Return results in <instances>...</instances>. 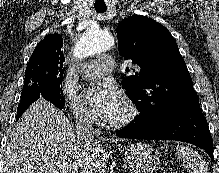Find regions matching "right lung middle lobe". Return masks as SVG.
<instances>
[{"label":"right lung middle lobe","instance_id":"obj_1","mask_svg":"<svg viewBox=\"0 0 219 173\" xmlns=\"http://www.w3.org/2000/svg\"><path fill=\"white\" fill-rule=\"evenodd\" d=\"M63 73L62 68L58 65H40L28 62L22 96L39 93L46 100L59 107H64Z\"/></svg>","mask_w":219,"mask_h":173}]
</instances>
